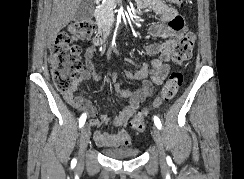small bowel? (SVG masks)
<instances>
[{
	"instance_id": "c3829d8e",
	"label": "small bowel",
	"mask_w": 244,
	"mask_h": 179,
	"mask_svg": "<svg viewBox=\"0 0 244 179\" xmlns=\"http://www.w3.org/2000/svg\"><path fill=\"white\" fill-rule=\"evenodd\" d=\"M136 6L141 10L152 11L159 16L160 22L152 23L148 28V33L151 37L162 38L164 41L146 45V53L153 57L149 63L136 65L131 59L126 58L127 64L137 66L135 71H126L125 76L129 80L142 82V86L138 90L126 89L121 83L116 82L117 73L112 74L111 81L114 83L115 92L120 98L128 101L125 108L113 119L107 116L97 119L94 117L97 113L96 109L84 97L82 91L76 93V87H74L72 90L63 93L65 102L71 107L78 111H88L90 124L93 127L107 125L111 122L118 128L127 126L130 117L141 102L152 94L154 84L162 83L169 73L168 62L172 57L177 40L182 36L183 17L175 8L163 0H137ZM98 47V44L92 43L85 49L84 57L87 60V65L80 76V81L89 79L99 81L101 79V74L92 63ZM94 140L101 147L127 145L130 143V134L124 130L118 132L97 130L94 133Z\"/></svg>"
}]
</instances>
